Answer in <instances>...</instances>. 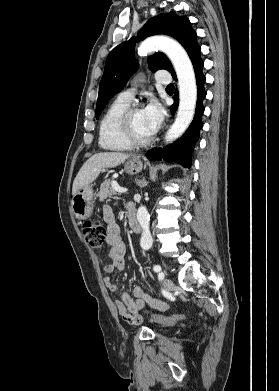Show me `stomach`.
I'll use <instances>...</instances> for the list:
<instances>
[{"label": "stomach", "instance_id": "obj_1", "mask_svg": "<svg viewBox=\"0 0 279 391\" xmlns=\"http://www.w3.org/2000/svg\"><path fill=\"white\" fill-rule=\"evenodd\" d=\"M143 168V163L139 157H133L124 163L126 173L134 175L139 173ZM95 195L91 185L80 189L71 202L74 216L79 220L88 219L93 212Z\"/></svg>", "mask_w": 279, "mask_h": 391}]
</instances>
